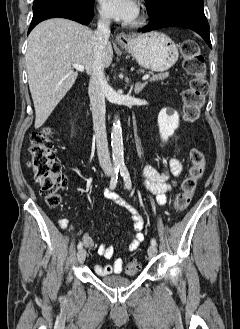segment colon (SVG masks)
<instances>
[{
    "label": "colon",
    "mask_w": 240,
    "mask_h": 329,
    "mask_svg": "<svg viewBox=\"0 0 240 329\" xmlns=\"http://www.w3.org/2000/svg\"><path fill=\"white\" fill-rule=\"evenodd\" d=\"M184 69L192 76L189 86L183 91V117L186 122H195L200 115L208 93L206 67L204 56L195 41L187 40L181 46ZM28 162L34 180L40 186V192L46 203L51 207L61 205V190L67 184V177L61 164L54 157V141L51 129L45 127L31 136ZM190 169L183 180L181 190L177 194L174 208L178 212L185 211L193 198L197 181L203 175L206 158L199 149H192L189 153ZM139 269L135 260H131L126 268L128 274L133 275Z\"/></svg>",
    "instance_id": "obj_1"
}]
</instances>
